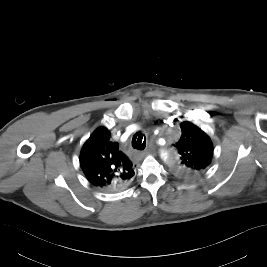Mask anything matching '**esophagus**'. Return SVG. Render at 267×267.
<instances>
[{
	"label": "esophagus",
	"instance_id": "obj_1",
	"mask_svg": "<svg viewBox=\"0 0 267 267\" xmlns=\"http://www.w3.org/2000/svg\"><path fill=\"white\" fill-rule=\"evenodd\" d=\"M146 154H147L146 151H142V152L140 153L141 156H144V155H146Z\"/></svg>",
	"mask_w": 267,
	"mask_h": 267
}]
</instances>
